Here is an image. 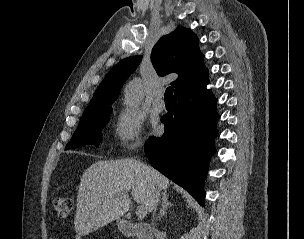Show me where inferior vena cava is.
<instances>
[{
    "label": "inferior vena cava",
    "instance_id": "obj_1",
    "mask_svg": "<svg viewBox=\"0 0 304 239\" xmlns=\"http://www.w3.org/2000/svg\"><path fill=\"white\" fill-rule=\"evenodd\" d=\"M158 200H159V191L154 190L153 198L151 201V205H152V208L154 209V212L156 211Z\"/></svg>",
    "mask_w": 304,
    "mask_h": 239
}]
</instances>
